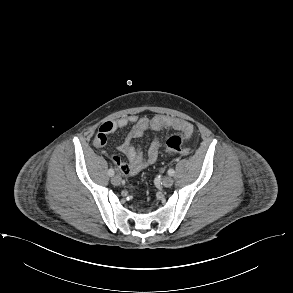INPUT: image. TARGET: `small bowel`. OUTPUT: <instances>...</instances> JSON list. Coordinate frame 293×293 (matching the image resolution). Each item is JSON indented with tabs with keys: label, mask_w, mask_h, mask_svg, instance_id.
<instances>
[{
	"label": "small bowel",
	"mask_w": 293,
	"mask_h": 293,
	"mask_svg": "<svg viewBox=\"0 0 293 293\" xmlns=\"http://www.w3.org/2000/svg\"><path fill=\"white\" fill-rule=\"evenodd\" d=\"M132 125V130L119 144V150L127 157L128 163H124L118 156H112L113 162L118 167L121 174L126 176H133L138 174L143 169L156 162L159 154L160 140L155 137L147 150L146 155L132 145V140L144 136L149 131H161L166 128L174 129L183 134L185 138L191 139L193 137V126L182 119L158 114L152 118L138 117L137 115H128L120 117L116 120H109L102 123L93 140L96 148H102L107 142L108 135L124 129Z\"/></svg>",
	"instance_id": "small-bowel-1"
}]
</instances>
